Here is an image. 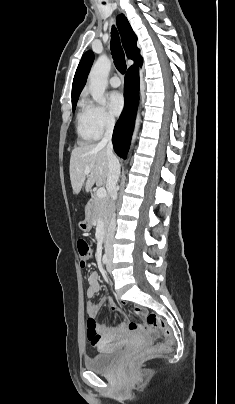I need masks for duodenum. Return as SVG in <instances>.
Segmentation results:
<instances>
[{
	"label": "duodenum",
	"instance_id": "obj_1",
	"mask_svg": "<svg viewBox=\"0 0 235 404\" xmlns=\"http://www.w3.org/2000/svg\"><path fill=\"white\" fill-rule=\"evenodd\" d=\"M92 208H93V204H92V202H91V203H89V210H88V213H89V214L92 213ZM106 240H107V237H106V235H105V236L103 237V243H105Z\"/></svg>",
	"mask_w": 235,
	"mask_h": 404
}]
</instances>
